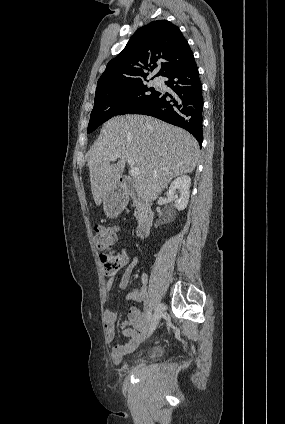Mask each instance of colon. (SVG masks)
Instances as JSON below:
<instances>
[{
  "mask_svg": "<svg viewBox=\"0 0 285 424\" xmlns=\"http://www.w3.org/2000/svg\"><path fill=\"white\" fill-rule=\"evenodd\" d=\"M116 237L117 228L115 226H95L94 228V245L100 252L103 270L108 275L116 274L122 266L119 257L112 251Z\"/></svg>",
  "mask_w": 285,
  "mask_h": 424,
  "instance_id": "obj_1",
  "label": "colon"
}]
</instances>
